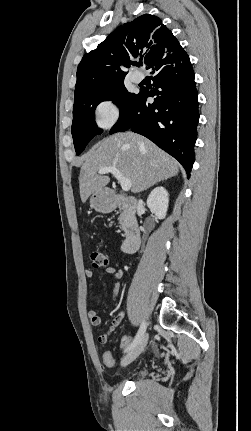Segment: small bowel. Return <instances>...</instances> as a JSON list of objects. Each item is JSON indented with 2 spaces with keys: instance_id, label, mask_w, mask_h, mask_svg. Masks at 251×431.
I'll return each instance as SVG.
<instances>
[{
  "instance_id": "small-bowel-1",
  "label": "small bowel",
  "mask_w": 251,
  "mask_h": 431,
  "mask_svg": "<svg viewBox=\"0 0 251 431\" xmlns=\"http://www.w3.org/2000/svg\"><path fill=\"white\" fill-rule=\"evenodd\" d=\"M105 272L108 275H111V276H113L116 279V282L114 284L113 291H112V297H113V299H115L117 297V295L119 293V289H120V282H119V280L122 279V277L124 275V272H123V270L121 268L118 267L117 264H115L114 266H107L105 268ZM84 274H85V276L87 278H92L93 275H94V273H93V271L91 269H86L84 271ZM124 317H125L124 311H119L114 316V318L112 319V321H111L108 329L103 334H101L98 337V341L101 344L105 345V344H108L110 342L112 333L120 325V323L122 322V320L124 319ZM88 318H89V321H90V323H91L92 326H94V327L100 326V324H101V317L99 316V314L97 313V311H95V310H89L88 311Z\"/></svg>"
}]
</instances>
